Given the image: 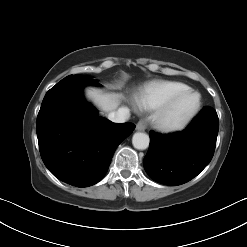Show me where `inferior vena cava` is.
<instances>
[{"label":"inferior vena cava","instance_id":"inferior-vena-cava-1","mask_svg":"<svg viewBox=\"0 0 247 247\" xmlns=\"http://www.w3.org/2000/svg\"><path fill=\"white\" fill-rule=\"evenodd\" d=\"M130 117V112L127 107H121L116 111H112L108 114V119L112 122L123 123Z\"/></svg>","mask_w":247,"mask_h":247}]
</instances>
